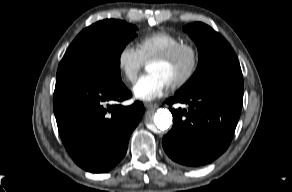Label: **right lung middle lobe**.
Segmentation results:
<instances>
[{
    "instance_id": "dd1d6c3e",
    "label": "right lung middle lobe",
    "mask_w": 292,
    "mask_h": 192,
    "mask_svg": "<svg viewBox=\"0 0 292 192\" xmlns=\"http://www.w3.org/2000/svg\"><path fill=\"white\" fill-rule=\"evenodd\" d=\"M136 26L107 19L84 29L62 58L57 76L76 75L96 79L109 86H120V55L135 36Z\"/></svg>"
}]
</instances>
